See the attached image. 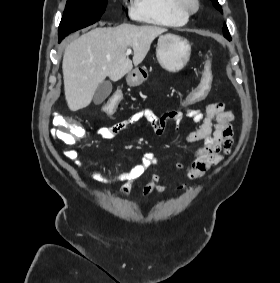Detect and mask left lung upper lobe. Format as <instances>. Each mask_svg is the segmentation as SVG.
Here are the masks:
<instances>
[{"instance_id": "5c2ea615", "label": "left lung upper lobe", "mask_w": 280, "mask_h": 283, "mask_svg": "<svg viewBox=\"0 0 280 283\" xmlns=\"http://www.w3.org/2000/svg\"><path fill=\"white\" fill-rule=\"evenodd\" d=\"M211 1H212V3H213L214 7H215L216 9H218L220 12H222V8H221V6L219 5L218 1H217V0H211ZM223 34H224V36H225L226 38L230 39V34H229V31H228V29H227L226 24H224V26H223Z\"/></svg>"}]
</instances>
